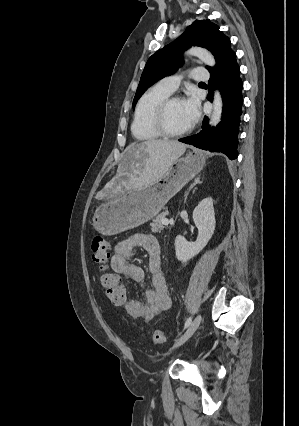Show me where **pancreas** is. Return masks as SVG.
Listing matches in <instances>:
<instances>
[{"label":"pancreas","mask_w":299,"mask_h":426,"mask_svg":"<svg viewBox=\"0 0 299 426\" xmlns=\"http://www.w3.org/2000/svg\"><path fill=\"white\" fill-rule=\"evenodd\" d=\"M167 213L168 212L165 210L163 213L157 215L156 218L153 220L151 224L153 232L160 233L163 230L164 226L162 220L165 218Z\"/></svg>","instance_id":"pancreas-1"}]
</instances>
